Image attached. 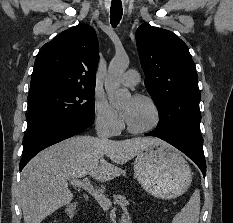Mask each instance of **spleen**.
Here are the masks:
<instances>
[{"label":"spleen","instance_id":"spleen-1","mask_svg":"<svg viewBox=\"0 0 233 223\" xmlns=\"http://www.w3.org/2000/svg\"><path fill=\"white\" fill-rule=\"evenodd\" d=\"M200 213V191L195 189L188 203L177 213L175 223H198Z\"/></svg>","mask_w":233,"mask_h":223}]
</instances>
